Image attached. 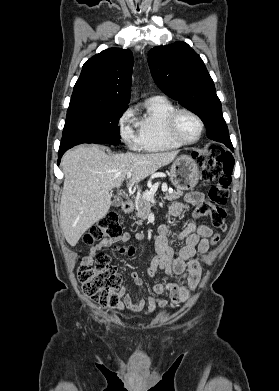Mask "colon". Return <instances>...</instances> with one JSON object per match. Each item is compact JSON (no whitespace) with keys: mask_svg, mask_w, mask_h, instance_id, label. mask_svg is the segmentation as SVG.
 Wrapping results in <instances>:
<instances>
[{"mask_svg":"<svg viewBox=\"0 0 279 391\" xmlns=\"http://www.w3.org/2000/svg\"><path fill=\"white\" fill-rule=\"evenodd\" d=\"M194 157L201 167V176L206 185H211L209 198L213 202L201 203L195 214L209 216L212 225L224 231L226 229V211L229 188L232 181L233 157L223 148L212 145L207 151L196 152ZM122 234L120 216L116 211H109L85 234L86 244L97 241L116 242ZM220 237L214 234L210 241L215 245ZM117 249L126 254H133L136 246H120ZM78 281L86 296L100 306L117 307L121 289V277L110 258L105 254L97 255L90 264L82 263L77 271Z\"/></svg>","mask_w":279,"mask_h":391,"instance_id":"obj_1","label":"colon"}]
</instances>
